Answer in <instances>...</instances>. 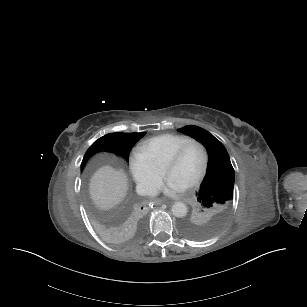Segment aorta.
<instances>
[{"label": "aorta", "instance_id": "obj_1", "mask_svg": "<svg viewBox=\"0 0 307 307\" xmlns=\"http://www.w3.org/2000/svg\"><path fill=\"white\" fill-rule=\"evenodd\" d=\"M172 214L177 218H182L187 214V207L183 202H175L171 207Z\"/></svg>", "mask_w": 307, "mask_h": 307}]
</instances>
